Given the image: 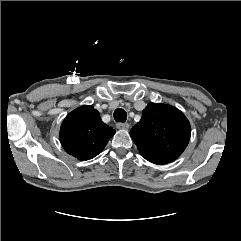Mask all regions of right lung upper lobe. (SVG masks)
<instances>
[{"label": "right lung upper lobe", "mask_w": 241, "mask_h": 241, "mask_svg": "<svg viewBox=\"0 0 241 241\" xmlns=\"http://www.w3.org/2000/svg\"><path fill=\"white\" fill-rule=\"evenodd\" d=\"M115 130L104 124L93 106L83 105L69 113L60 128L64 150L79 160H89L105 148Z\"/></svg>", "instance_id": "cb5924a9"}]
</instances>
